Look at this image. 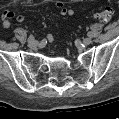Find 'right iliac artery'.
<instances>
[{"label":"right iliac artery","instance_id":"right-iliac-artery-1","mask_svg":"<svg viewBox=\"0 0 119 119\" xmlns=\"http://www.w3.org/2000/svg\"><path fill=\"white\" fill-rule=\"evenodd\" d=\"M34 38L35 37L33 35H30L29 38H28V41H32V40H34Z\"/></svg>","mask_w":119,"mask_h":119}]
</instances>
